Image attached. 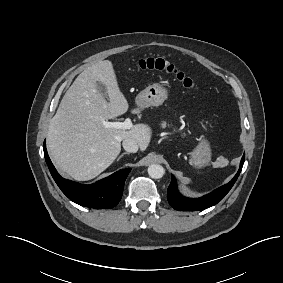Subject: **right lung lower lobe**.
I'll use <instances>...</instances> for the list:
<instances>
[{
    "label": "right lung lower lobe",
    "mask_w": 283,
    "mask_h": 283,
    "mask_svg": "<svg viewBox=\"0 0 283 283\" xmlns=\"http://www.w3.org/2000/svg\"><path fill=\"white\" fill-rule=\"evenodd\" d=\"M44 156L53 179L73 202L94 209H110L119 203L126 177L131 169L117 171L95 184L83 185L66 180L58 174L48 156L45 142Z\"/></svg>",
    "instance_id": "1"
}]
</instances>
